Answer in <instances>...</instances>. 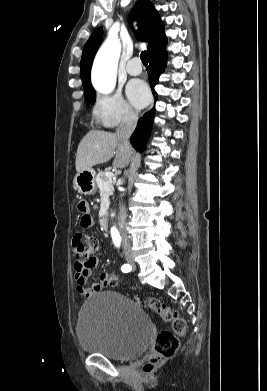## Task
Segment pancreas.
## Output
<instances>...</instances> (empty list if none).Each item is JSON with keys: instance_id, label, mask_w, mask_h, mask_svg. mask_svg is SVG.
Instances as JSON below:
<instances>
[{"instance_id": "pancreas-1", "label": "pancreas", "mask_w": 267, "mask_h": 391, "mask_svg": "<svg viewBox=\"0 0 267 391\" xmlns=\"http://www.w3.org/2000/svg\"><path fill=\"white\" fill-rule=\"evenodd\" d=\"M105 174L106 173L102 171L98 172L95 178V182L97 187L100 189V192H102L103 187L107 185L108 187L107 194L110 195L114 192V187H113L114 182L111 177H107Z\"/></svg>"}]
</instances>
